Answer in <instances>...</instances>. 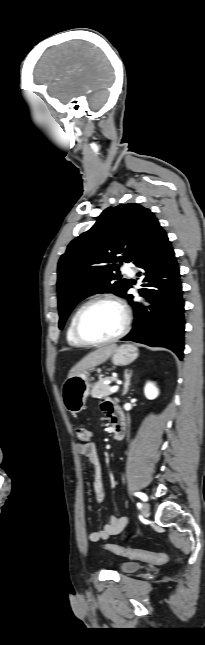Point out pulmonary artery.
<instances>
[{
    "mask_svg": "<svg viewBox=\"0 0 205 645\" xmlns=\"http://www.w3.org/2000/svg\"><path fill=\"white\" fill-rule=\"evenodd\" d=\"M121 270H122V272H123V273H126V274H128V275H133V274H134L133 269H132V268H131V266H130V265H128V264H124V265L122 266Z\"/></svg>",
    "mask_w": 205,
    "mask_h": 645,
    "instance_id": "1",
    "label": "pulmonary artery"
}]
</instances>
